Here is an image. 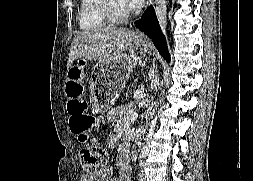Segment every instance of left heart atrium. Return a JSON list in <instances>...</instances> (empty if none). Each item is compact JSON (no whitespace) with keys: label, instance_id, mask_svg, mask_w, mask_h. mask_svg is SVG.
<instances>
[{"label":"left heart atrium","instance_id":"39dd6f15","mask_svg":"<svg viewBox=\"0 0 253 181\" xmlns=\"http://www.w3.org/2000/svg\"><path fill=\"white\" fill-rule=\"evenodd\" d=\"M145 0H123L125 7L130 10H136L142 7Z\"/></svg>","mask_w":253,"mask_h":181}]
</instances>
